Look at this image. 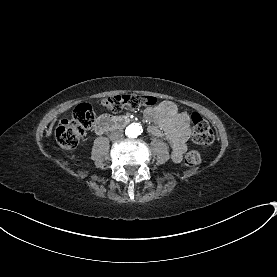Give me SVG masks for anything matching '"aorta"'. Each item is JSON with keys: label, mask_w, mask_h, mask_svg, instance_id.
<instances>
[{"label": "aorta", "mask_w": 277, "mask_h": 277, "mask_svg": "<svg viewBox=\"0 0 277 277\" xmlns=\"http://www.w3.org/2000/svg\"><path fill=\"white\" fill-rule=\"evenodd\" d=\"M141 132L142 126L138 123L130 124L125 130V133L129 138H136L141 134Z\"/></svg>", "instance_id": "762f6f07"}]
</instances>
